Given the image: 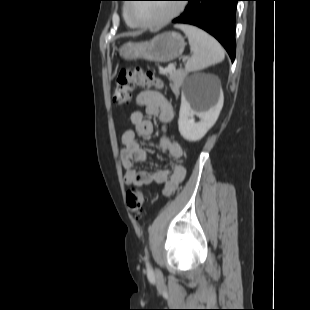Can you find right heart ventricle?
Returning <instances> with one entry per match:
<instances>
[{"instance_id": "right-heart-ventricle-1", "label": "right heart ventricle", "mask_w": 310, "mask_h": 310, "mask_svg": "<svg viewBox=\"0 0 310 310\" xmlns=\"http://www.w3.org/2000/svg\"><path fill=\"white\" fill-rule=\"evenodd\" d=\"M127 20V19H126ZM127 23L131 26V27H135L132 23H130L128 20H127Z\"/></svg>"}]
</instances>
